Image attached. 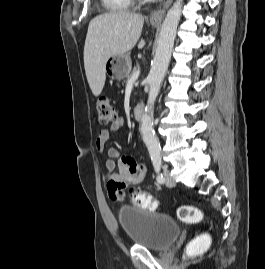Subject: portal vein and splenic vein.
Returning a JSON list of instances; mask_svg holds the SVG:
<instances>
[{"instance_id":"18ae733b","label":"portal vein and splenic vein","mask_w":265,"mask_h":269,"mask_svg":"<svg viewBox=\"0 0 265 269\" xmlns=\"http://www.w3.org/2000/svg\"><path fill=\"white\" fill-rule=\"evenodd\" d=\"M139 74H140L139 70H137L136 72H134L133 75L131 76V78L129 79L128 83H129V84H133V83H135V81H136V80L138 79V77H139Z\"/></svg>"}]
</instances>
